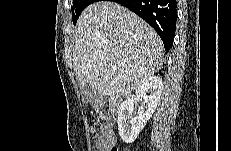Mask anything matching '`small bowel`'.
<instances>
[{
    "instance_id": "small-bowel-1",
    "label": "small bowel",
    "mask_w": 231,
    "mask_h": 151,
    "mask_svg": "<svg viewBox=\"0 0 231 151\" xmlns=\"http://www.w3.org/2000/svg\"><path fill=\"white\" fill-rule=\"evenodd\" d=\"M114 144V139L111 142H104L101 138H98L96 141V151H111Z\"/></svg>"
}]
</instances>
